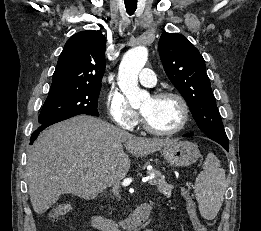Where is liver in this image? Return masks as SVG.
I'll list each match as a JSON object with an SVG mask.
<instances>
[{
    "instance_id": "1",
    "label": "liver",
    "mask_w": 261,
    "mask_h": 231,
    "mask_svg": "<svg viewBox=\"0 0 261 231\" xmlns=\"http://www.w3.org/2000/svg\"><path fill=\"white\" fill-rule=\"evenodd\" d=\"M170 139L136 137L91 116L80 115L43 131L28 154L26 177L36 213L62 194L93 199L128 173L132 155L151 154Z\"/></svg>"
}]
</instances>
